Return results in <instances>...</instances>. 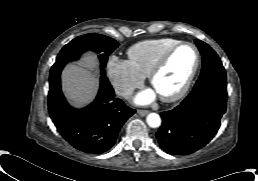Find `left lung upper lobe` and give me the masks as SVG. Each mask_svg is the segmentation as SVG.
Instances as JSON below:
<instances>
[{"label":"left lung upper lobe","mask_w":258,"mask_h":181,"mask_svg":"<svg viewBox=\"0 0 258 181\" xmlns=\"http://www.w3.org/2000/svg\"><path fill=\"white\" fill-rule=\"evenodd\" d=\"M195 43L202 55V71L195 86L210 79L226 80L225 69L215 51L201 40L197 39Z\"/></svg>","instance_id":"obj_1"}]
</instances>
